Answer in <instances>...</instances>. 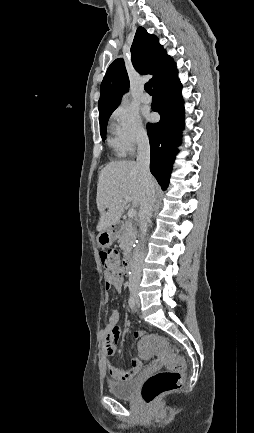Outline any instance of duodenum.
Listing matches in <instances>:
<instances>
[{
    "label": "duodenum",
    "mask_w": 254,
    "mask_h": 433,
    "mask_svg": "<svg viewBox=\"0 0 254 433\" xmlns=\"http://www.w3.org/2000/svg\"><path fill=\"white\" fill-rule=\"evenodd\" d=\"M118 231V224H112L110 226V232L115 235ZM132 259L133 257L131 256V254L129 252L125 253V257H124V262H123V269L126 272H129L131 270V264H132Z\"/></svg>",
    "instance_id": "410a0bca"
}]
</instances>
